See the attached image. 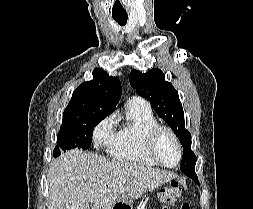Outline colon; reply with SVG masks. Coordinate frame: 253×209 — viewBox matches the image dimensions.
I'll use <instances>...</instances> for the list:
<instances>
[{"label":"colon","instance_id":"1","mask_svg":"<svg viewBox=\"0 0 253 209\" xmlns=\"http://www.w3.org/2000/svg\"><path fill=\"white\" fill-rule=\"evenodd\" d=\"M164 199L167 202H174L181 195V188L177 182H173L170 186L163 190ZM179 209H190L188 203H182Z\"/></svg>","mask_w":253,"mask_h":209}]
</instances>
